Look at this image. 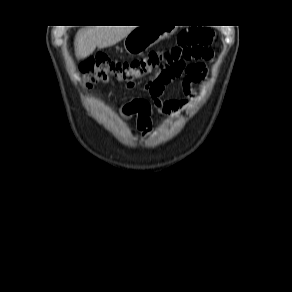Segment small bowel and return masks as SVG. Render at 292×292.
I'll list each match as a JSON object with an SVG mask.
<instances>
[{
  "mask_svg": "<svg viewBox=\"0 0 292 292\" xmlns=\"http://www.w3.org/2000/svg\"><path fill=\"white\" fill-rule=\"evenodd\" d=\"M212 58V52L208 49V54L204 58L205 60H210ZM207 74L206 65L202 62L191 64L186 76L183 80L182 86L183 91L186 96L184 100H165L162 101L160 99L164 86H162L156 94H154V101L157 107L160 109L162 113L165 114H175L181 111L188 103L190 99L195 96L194 85L202 82ZM149 126V124H141L142 129H145Z\"/></svg>",
  "mask_w": 292,
  "mask_h": 292,
  "instance_id": "obj_1",
  "label": "small bowel"
}]
</instances>
